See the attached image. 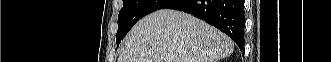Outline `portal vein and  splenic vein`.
<instances>
[{
  "instance_id": "portal-vein-and-splenic-vein-1",
  "label": "portal vein and splenic vein",
  "mask_w": 331,
  "mask_h": 62,
  "mask_svg": "<svg viewBox=\"0 0 331 62\" xmlns=\"http://www.w3.org/2000/svg\"><path fill=\"white\" fill-rule=\"evenodd\" d=\"M173 59H174V57L169 55L168 57L165 58V61H166V60H167V61H172Z\"/></svg>"
}]
</instances>
